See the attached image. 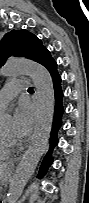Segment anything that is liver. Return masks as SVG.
Listing matches in <instances>:
<instances>
[{"label":"liver","instance_id":"1","mask_svg":"<svg viewBox=\"0 0 89 203\" xmlns=\"http://www.w3.org/2000/svg\"><path fill=\"white\" fill-rule=\"evenodd\" d=\"M8 167H10L8 163H1L0 164V178H1V181H3V179L7 176L6 170H7Z\"/></svg>","mask_w":89,"mask_h":203}]
</instances>
